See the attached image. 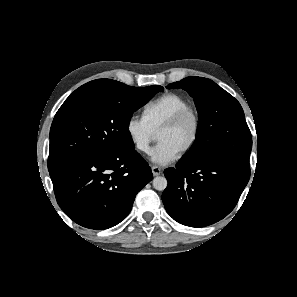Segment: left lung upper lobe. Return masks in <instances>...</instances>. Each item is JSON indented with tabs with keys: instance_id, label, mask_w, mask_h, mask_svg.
Returning a JSON list of instances; mask_svg holds the SVG:
<instances>
[{
	"instance_id": "left-lung-upper-lobe-1",
	"label": "left lung upper lobe",
	"mask_w": 297,
	"mask_h": 297,
	"mask_svg": "<svg viewBox=\"0 0 297 297\" xmlns=\"http://www.w3.org/2000/svg\"><path fill=\"white\" fill-rule=\"evenodd\" d=\"M167 88L186 90L194 98L200 119L197 139L181 161L215 158L249 168L251 133L233 96L202 77H187Z\"/></svg>"
}]
</instances>
